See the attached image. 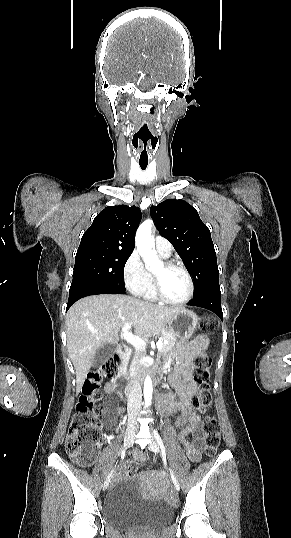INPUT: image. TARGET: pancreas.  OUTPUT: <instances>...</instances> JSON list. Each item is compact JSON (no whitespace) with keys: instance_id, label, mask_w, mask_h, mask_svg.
<instances>
[{"instance_id":"obj_1","label":"pancreas","mask_w":291,"mask_h":538,"mask_svg":"<svg viewBox=\"0 0 291 538\" xmlns=\"http://www.w3.org/2000/svg\"><path fill=\"white\" fill-rule=\"evenodd\" d=\"M160 338L162 340H168L167 344H163V346L158 349L160 353H166V352L170 351L174 347V344L176 342V336L173 333H171L170 331H162L160 333ZM144 354H145V351L142 350V349H136L135 350V352H134V360H135V364H136L137 367H140L139 358ZM125 362H126V360H125Z\"/></svg>"}]
</instances>
